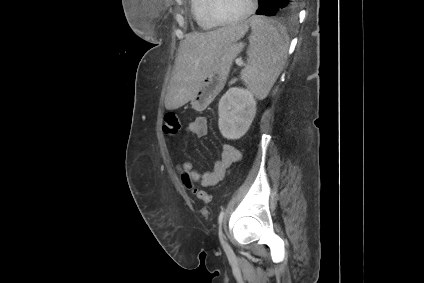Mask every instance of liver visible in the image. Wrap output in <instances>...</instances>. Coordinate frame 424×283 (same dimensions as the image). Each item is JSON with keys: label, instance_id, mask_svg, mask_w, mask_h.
Wrapping results in <instances>:
<instances>
[{"label": "liver", "instance_id": "6515ba94", "mask_svg": "<svg viewBox=\"0 0 424 283\" xmlns=\"http://www.w3.org/2000/svg\"><path fill=\"white\" fill-rule=\"evenodd\" d=\"M248 29V23L241 22L186 35L165 97L166 109H177L190 101L226 46L244 37Z\"/></svg>", "mask_w": 424, "mask_h": 283}]
</instances>
